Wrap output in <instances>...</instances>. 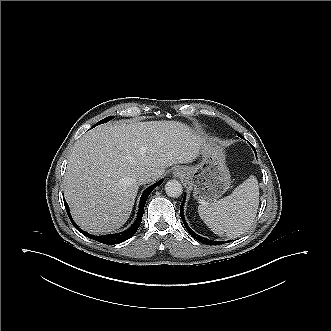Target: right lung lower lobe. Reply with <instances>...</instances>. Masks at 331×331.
<instances>
[{"label":"right lung lower lobe","mask_w":331,"mask_h":331,"mask_svg":"<svg viewBox=\"0 0 331 331\" xmlns=\"http://www.w3.org/2000/svg\"><path fill=\"white\" fill-rule=\"evenodd\" d=\"M163 182V180H160L159 182L151 185L150 187H148L142 194L141 196V200H140V203H139V210H138V213H137V218H136V221L134 222V224L127 230L123 231V232H120V233H116V234H109V235H102V236H95V235H91V234H88L86 233L85 231H82L76 224L75 222L73 221V219L71 218V215H70V211H69V207H68V204L65 202L64 205H65V208L67 210V213H68V216L69 218L71 219L73 225L81 232L83 233L85 236L93 239V240H96L98 242H101L103 244H118V243H121V242H124L126 241L127 239H129L130 237H132L136 231L138 230L139 226H140V223H141V220H142V216H143V213H144V206H145V203H146V200H147V197L149 196V194L151 193V191L159 186L161 183Z\"/></svg>","instance_id":"98d812e1"}]
</instances>
